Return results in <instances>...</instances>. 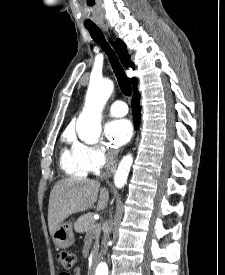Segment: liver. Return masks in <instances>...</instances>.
<instances>
[{
	"label": "liver",
	"mask_w": 225,
	"mask_h": 275,
	"mask_svg": "<svg viewBox=\"0 0 225 275\" xmlns=\"http://www.w3.org/2000/svg\"><path fill=\"white\" fill-rule=\"evenodd\" d=\"M100 190L98 180L70 177L58 181L52 188L48 205L49 232L55 229L70 215L91 208L97 201ZM109 193L106 188L100 190L97 210H103L108 202Z\"/></svg>",
	"instance_id": "liver-1"
}]
</instances>
